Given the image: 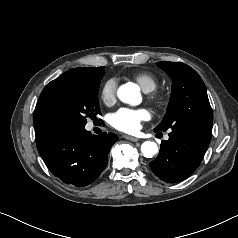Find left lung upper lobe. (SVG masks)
<instances>
[{"mask_svg":"<svg viewBox=\"0 0 238 238\" xmlns=\"http://www.w3.org/2000/svg\"><path fill=\"white\" fill-rule=\"evenodd\" d=\"M172 79L167 112L155 131L186 130L212 135L213 113L199 74L181 62H157Z\"/></svg>","mask_w":238,"mask_h":238,"instance_id":"1","label":"left lung upper lobe"}]
</instances>
